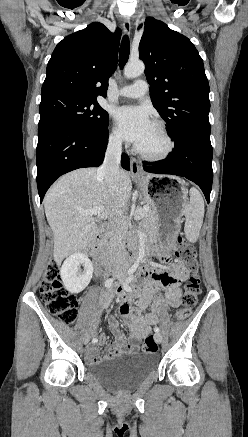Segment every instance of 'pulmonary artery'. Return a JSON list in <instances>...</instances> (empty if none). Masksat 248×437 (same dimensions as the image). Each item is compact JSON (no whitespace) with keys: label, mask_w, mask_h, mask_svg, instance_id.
Returning a JSON list of instances; mask_svg holds the SVG:
<instances>
[{"label":"pulmonary artery","mask_w":248,"mask_h":437,"mask_svg":"<svg viewBox=\"0 0 248 437\" xmlns=\"http://www.w3.org/2000/svg\"><path fill=\"white\" fill-rule=\"evenodd\" d=\"M148 92V83L139 79L131 85L122 87L117 95L126 98H141Z\"/></svg>","instance_id":"obj_1"}]
</instances>
